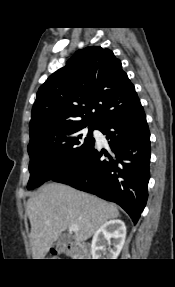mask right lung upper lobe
I'll use <instances>...</instances> for the list:
<instances>
[{
    "label": "right lung upper lobe",
    "mask_w": 175,
    "mask_h": 287,
    "mask_svg": "<svg viewBox=\"0 0 175 287\" xmlns=\"http://www.w3.org/2000/svg\"><path fill=\"white\" fill-rule=\"evenodd\" d=\"M138 101L112 51L100 46L79 50L39 88L29 124L30 143L71 128L99 126Z\"/></svg>",
    "instance_id": "1"
}]
</instances>
